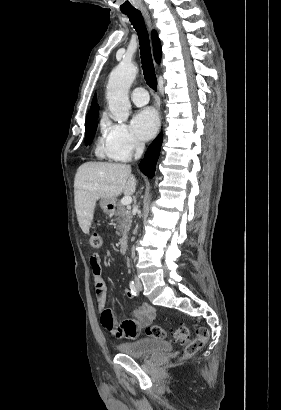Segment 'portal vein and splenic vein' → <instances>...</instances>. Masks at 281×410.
Wrapping results in <instances>:
<instances>
[{
    "label": "portal vein and splenic vein",
    "instance_id": "portal-vein-and-splenic-vein-1",
    "mask_svg": "<svg viewBox=\"0 0 281 410\" xmlns=\"http://www.w3.org/2000/svg\"><path fill=\"white\" fill-rule=\"evenodd\" d=\"M132 203V198L130 196H125L121 199V204L129 206Z\"/></svg>",
    "mask_w": 281,
    "mask_h": 410
}]
</instances>
